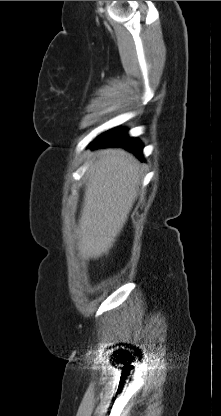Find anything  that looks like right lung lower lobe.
<instances>
[{
	"instance_id": "right-lung-lower-lobe-1",
	"label": "right lung lower lobe",
	"mask_w": 221,
	"mask_h": 416,
	"mask_svg": "<svg viewBox=\"0 0 221 416\" xmlns=\"http://www.w3.org/2000/svg\"><path fill=\"white\" fill-rule=\"evenodd\" d=\"M120 146L133 152L136 156L143 160L142 144L135 138L127 135V131L121 128H115L99 135L91 144L90 148Z\"/></svg>"
}]
</instances>
